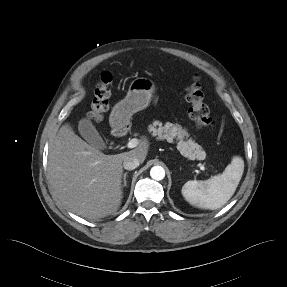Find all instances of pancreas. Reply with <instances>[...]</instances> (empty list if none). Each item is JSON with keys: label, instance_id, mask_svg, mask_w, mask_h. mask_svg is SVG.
I'll return each mask as SVG.
<instances>
[{"label": "pancreas", "instance_id": "cf45deb5", "mask_svg": "<svg viewBox=\"0 0 287 287\" xmlns=\"http://www.w3.org/2000/svg\"><path fill=\"white\" fill-rule=\"evenodd\" d=\"M149 131L160 140L166 139L170 143H172L175 138L179 140L177 149L183 156L190 160H204L206 157L205 151L199 144L195 143L192 139L183 140L185 137H188V133L179 124L167 122L163 126L161 122L154 121L153 125L149 126Z\"/></svg>", "mask_w": 287, "mask_h": 287}]
</instances>
